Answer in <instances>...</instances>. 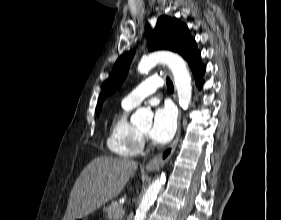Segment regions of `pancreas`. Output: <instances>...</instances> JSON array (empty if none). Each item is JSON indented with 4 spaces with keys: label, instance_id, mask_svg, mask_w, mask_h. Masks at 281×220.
<instances>
[{
    "label": "pancreas",
    "instance_id": "pancreas-1",
    "mask_svg": "<svg viewBox=\"0 0 281 220\" xmlns=\"http://www.w3.org/2000/svg\"><path fill=\"white\" fill-rule=\"evenodd\" d=\"M122 206L117 201H112L110 205L104 208V213L108 220H123L124 214L118 215L121 212Z\"/></svg>",
    "mask_w": 281,
    "mask_h": 220
}]
</instances>
